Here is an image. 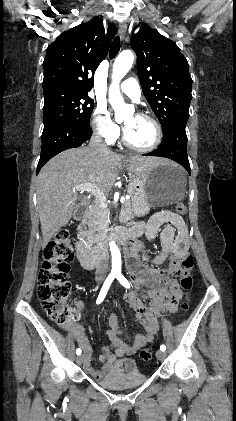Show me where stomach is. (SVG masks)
I'll list each match as a JSON object with an SVG mask.
<instances>
[{
    "label": "stomach",
    "instance_id": "obj_1",
    "mask_svg": "<svg viewBox=\"0 0 236 421\" xmlns=\"http://www.w3.org/2000/svg\"><path fill=\"white\" fill-rule=\"evenodd\" d=\"M129 160H125V166ZM128 192L135 217L148 215L151 206H167L183 200L186 192V172L181 166L153 162L140 168H129Z\"/></svg>",
    "mask_w": 236,
    "mask_h": 421
}]
</instances>
